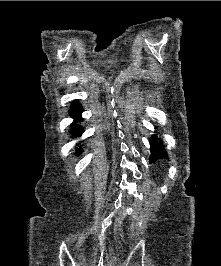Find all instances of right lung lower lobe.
<instances>
[{"instance_id": "98d812e1", "label": "right lung lower lobe", "mask_w": 221, "mask_h": 266, "mask_svg": "<svg viewBox=\"0 0 221 266\" xmlns=\"http://www.w3.org/2000/svg\"><path fill=\"white\" fill-rule=\"evenodd\" d=\"M82 112H83V109H82V106H81L80 103L73 102L71 104L70 109H69V114H70L71 117L74 118L75 122H78L79 120H82V118H81V113ZM70 132L73 135L80 136L83 133V129L81 128V126L73 123V127L71 128ZM78 152H81V151L77 150V154H78Z\"/></svg>"}]
</instances>
